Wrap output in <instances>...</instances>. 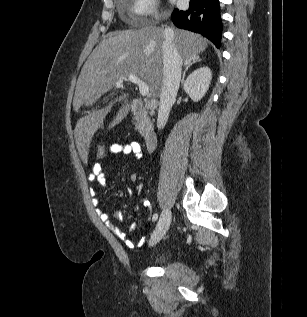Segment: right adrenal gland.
Listing matches in <instances>:
<instances>
[{
  "label": "right adrenal gland",
  "instance_id": "2a0ac1e0",
  "mask_svg": "<svg viewBox=\"0 0 307 317\" xmlns=\"http://www.w3.org/2000/svg\"><path fill=\"white\" fill-rule=\"evenodd\" d=\"M202 61V59L199 57V56H195L193 57L192 59L188 60V61H185V69L183 71V75H182V79H181V84L184 83V79H185V75H186V72L187 70L190 68L191 65H193L194 63L196 62H200Z\"/></svg>",
  "mask_w": 307,
  "mask_h": 317
}]
</instances>
